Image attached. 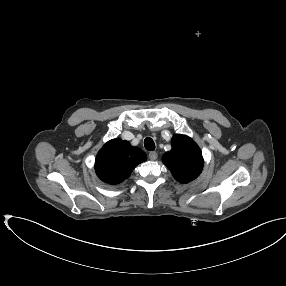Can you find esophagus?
I'll return each mask as SVG.
<instances>
[{
  "mask_svg": "<svg viewBox=\"0 0 286 286\" xmlns=\"http://www.w3.org/2000/svg\"><path fill=\"white\" fill-rule=\"evenodd\" d=\"M148 157L150 160H156L158 157V154L156 152H150Z\"/></svg>",
  "mask_w": 286,
  "mask_h": 286,
  "instance_id": "1",
  "label": "esophagus"
}]
</instances>
